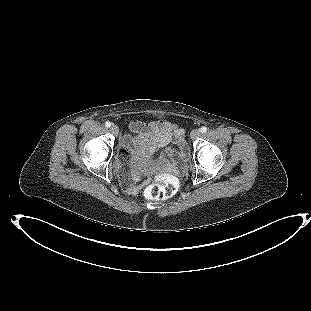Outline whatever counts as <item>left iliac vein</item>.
I'll list each match as a JSON object with an SVG mask.
<instances>
[{
	"label": "left iliac vein",
	"instance_id": "4c4485c4",
	"mask_svg": "<svg viewBox=\"0 0 311 311\" xmlns=\"http://www.w3.org/2000/svg\"><path fill=\"white\" fill-rule=\"evenodd\" d=\"M201 132L199 129H193L191 134H190V137L191 139H196L200 136Z\"/></svg>",
	"mask_w": 311,
	"mask_h": 311
}]
</instances>
